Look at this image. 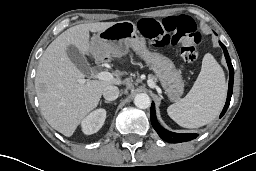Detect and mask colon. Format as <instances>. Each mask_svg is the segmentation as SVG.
<instances>
[{
	"instance_id": "1",
	"label": "colon",
	"mask_w": 256,
	"mask_h": 171,
	"mask_svg": "<svg viewBox=\"0 0 256 171\" xmlns=\"http://www.w3.org/2000/svg\"><path fill=\"white\" fill-rule=\"evenodd\" d=\"M138 30L156 47L178 46L185 62L197 58L203 39L195 22L188 16H170L160 20L143 18L138 22Z\"/></svg>"
}]
</instances>
